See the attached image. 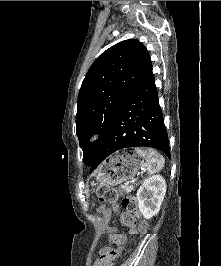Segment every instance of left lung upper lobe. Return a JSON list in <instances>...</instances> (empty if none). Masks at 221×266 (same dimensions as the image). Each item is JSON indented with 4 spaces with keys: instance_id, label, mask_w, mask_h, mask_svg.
Masks as SVG:
<instances>
[{
    "instance_id": "obj_1",
    "label": "left lung upper lobe",
    "mask_w": 221,
    "mask_h": 266,
    "mask_svg": "<svg viewBox=\"0 0 221 266\" xmlns=\"http://www.w3.org/2000/svg\"><path fill=\"white\" fill-rule=\"evenodd\" d=\"M151 74L149 53L135 39L113 45L91 65L79 91L76 114V134L86 164H92L127 95ZM94 132L100 138L89 143Z\"/></svg>"
}]
</instances>
